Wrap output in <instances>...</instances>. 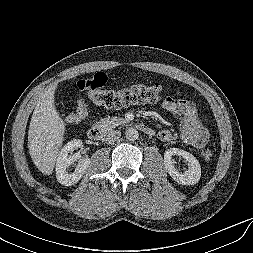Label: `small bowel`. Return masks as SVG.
Instances as JSON below:
<instances>
[{
    "label": "small bowel",
    "mask_w": 253,
    "mask_h": 253,
    "mask_svg": "<svg viewBox=\"0 0 253 253\" xmlns=\"http://www.w3.org/2000/svg\"><path fill=\"white\" fill-rule=\"evenodd\" d=\"M162 106L179 120L181 138L186 144L194 148H202L206 144L208 131L200 123L196 108L190 99L169 96L165 98ZM157 138L168 142L172 135L168 130H161L157 133Z\"/></svg>",
    "instance_id": "1"
}]
</instances>
